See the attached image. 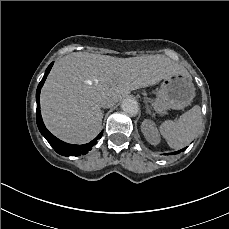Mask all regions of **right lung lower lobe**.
<instances>
[{
	"label": "right lung lower lobe",
	"instance_id": "obj_1",
	"mask_svg": "<svg viewBox=\"0 0 229 229\" xmlns=\"http://www.w3.org/2000/svg\"><path fill=\"white\" fill-rule=\"evenodd\" d=\"M53 66V62L47 67L45 74L39 83L36 91V101H37V110H36V122L39 131L41 134L46 138V140L49 142V144L53 147V149L60 155L63 156H80L85 155L92 149V147L96 144L97 140L100 139L102 136V132L90 143L83 144V145H73L65 143L58 138H56L54 135H52L47 128L45 127L41 112H40V90L46 80L47 75L49 74L51 68Z\"/></svg>",
	"mask_w": 229,
	"mask_h": 229
}]
</instances>
